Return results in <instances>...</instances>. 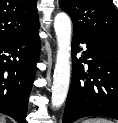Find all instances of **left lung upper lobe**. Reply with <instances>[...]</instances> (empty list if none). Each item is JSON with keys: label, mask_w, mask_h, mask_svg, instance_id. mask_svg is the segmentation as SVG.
I'll return each instance as SVG.
<instances>
[{"label": "left lung upper lobe", "mask_w": 118, "mask_h": 123, "mask_svg": "<svg viewBox=\"0 0 118 123\" xmlns=\"http://www.w3.org/2000/svg\"><path fill=\"white\" fill-rule=\"evenodd\" d=\"M74 32L118 45V11L112 0H59Z\"/></svg>", "instance_id": "left-lung-upper-lobe-1"}]
</instances>
